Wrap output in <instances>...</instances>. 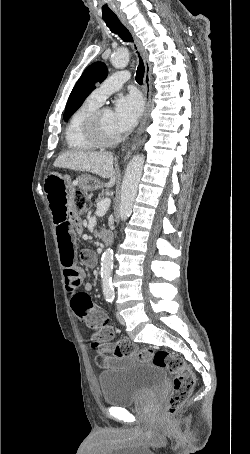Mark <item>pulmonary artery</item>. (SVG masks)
Instances as JSON below:
<instances>
[{"label": "pulmonary artery", "instance_id": "e3ab8cb5", "mask_svg": "<svg viewBox=\"0 0 250 454\" xmlns=\"http://www.w3.org/2000/svg\"><path fill=\"white\" fill-rule=\"evenodd\" d=\"M129 79L128 72L114 73L90 94L89 99L101 105L110 94L119 90Z\"/></svg>", "mask_w": 250, "mask_h": 454}]
</instances>
